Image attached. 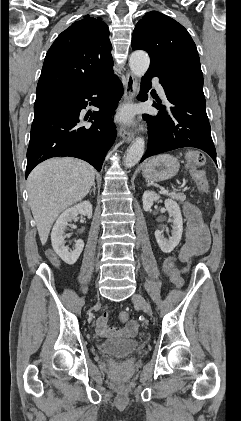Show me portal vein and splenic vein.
Wrapping results in <instances>:
<instances>
[{
  "label": "portal vein and splenic vein",
  "instance_id": "1",
  "mask_svg": "<svg viewBox=\"0 0 241 421\" xmlns=\"http://www.w3.org/2000/svg\"><path fill=\"white\" fill-rule=\"evenodd\" d=\"M168 191H169V190H167V189H162V190L160 191V193H161V194H166V193H168Z\"/></svg>",
  "mask_w": 241,
  "mask_h": 421
}]
</instances>
